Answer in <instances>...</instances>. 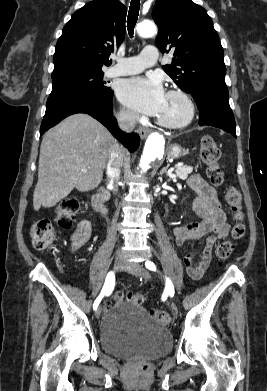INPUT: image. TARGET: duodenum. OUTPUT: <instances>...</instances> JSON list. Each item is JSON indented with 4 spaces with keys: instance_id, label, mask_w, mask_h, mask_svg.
<instances>
[{
    "instance_id": "1",
    "label": "duodenum",
    "mask_w": 267,
    "mask_h": 391,
    "mask_svg": "<svg viewBox=\"0 0 267 391\" xmlns=\"http://www.w3.org/2000/svg\"><path fill=\"white\" fill-rule=\"evenodd\" d=\"M107 193L104 190L97 192L92 198V206L101 215L107 213L106 207Z\"/></svg>"
}]
</instances>
